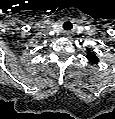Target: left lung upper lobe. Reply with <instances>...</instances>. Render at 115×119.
Listing matches in <instances>:
<instances>
[{"instance_id": "obj_1", "label": "left lung upper lobe", "mask_w": 115, "mask_h": 119, "mask_svg": "<svg viewBox=\"0 0 115 119\" xmlns=\"http://www.w3.org/2000/svg\"><path fill=\"white\" fill-rule=\"evenodd\" d=\"M87 59L93 64H97L99 62V59L94 52L88 51Z\"/></svg>"}]
</instances>
